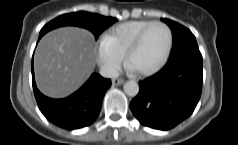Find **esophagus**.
<instances>
[{"instance_id": "obj_1", "label": "esophagus", "mask_w": 238, "mask_h": 145, "mask_svg": "<svg viewBox=\"0 0 238 145\" xmlns=\"http://www.w3.org/2000/svg\"><path fill=\"white\" fill-rule=\"evenodd\" d=\"M124 83V80L123 79H113L112 80V84L114 85V86H117V85H121V84H123Z\"/></svg>"}]
</instances>
